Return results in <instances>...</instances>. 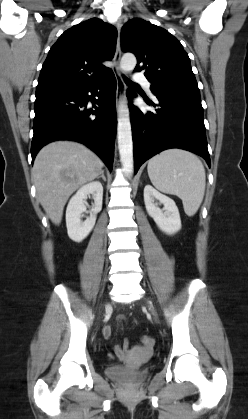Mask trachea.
Returning <instances> with one entry per match:
<instances>
[{
  "label": "trachea",
  "mask_w": 248,
  "mask_h": 419,
  "mask_svg": "<svg viewBox=\"0 0 248 419\" xmlns=\"http://www.w3.org/2000/svg\"><path fill=\"white\" fill-rule=\"evenodd\" d=\"M125 81H126V83H127V84L135 85V83H134V82L130 81V80H129V79H127V78H125Z\"/></svg>",
  "instance_id": "3493384b"
}]
</instances>
